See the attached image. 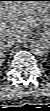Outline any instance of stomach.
<instances>
[{
  "label": "stomach",
  "instance_id": "obj_1",
  "mask_svg": "<svg viewBox=\"0 0 50 111\" xmlns=\"http://www.w3.org/2000/svg\"><path fill=\"white\" fill-rule=\"evenodd\" d=\"M50 35V22L49 21H45L44 22V33L43 36L44 37H48Z\"/></svg>",
  "mask_w": 50,
  "mask_h": 111
}]
</instances>
